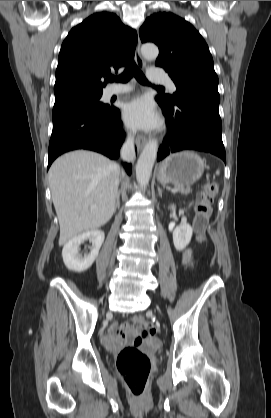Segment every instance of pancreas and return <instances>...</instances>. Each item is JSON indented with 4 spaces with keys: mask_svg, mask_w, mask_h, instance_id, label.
<instances>
[{
    "mask_svg": "<svg viewBox=\"0 0 271 418\" xmlns=\"http://www.w3.org/2000/svg\"><path fill=\"white\" fill-rule=\"evenodd\" d=\"M176 188L179 192H181L184 195H188L192 192V190L188 186L184 187L183 185H181V186H177Z\"/></svg>",
    "mask_w": 271,
    "mask_h": 418,
    "instance_id": "obj_1",
    "label": "pancreas"
}]
</instances>
